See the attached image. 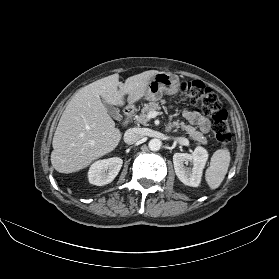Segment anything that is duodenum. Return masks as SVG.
Instances as JSON below:
<instances>
[{"mask_svg":"<svg viewBox=\"0 0 279 279\" xmlns=\"http://www.w3.org/2000/svg\"><path fill=\"white\" fill-rule=\"evenodd\" d=\"M124 116H125L126 120H129V118L131 117V111L130 110H125Z\"/></svg>","mask_w":279,"mask_h":279,"instance_id":"obj_1","label":"duodenum"}]
</instances>
